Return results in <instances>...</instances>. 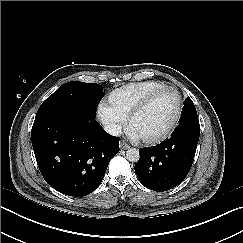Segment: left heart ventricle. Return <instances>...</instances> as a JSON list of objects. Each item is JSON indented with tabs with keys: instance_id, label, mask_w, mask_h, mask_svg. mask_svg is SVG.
I'll return each mask as SVG.
<instances>
[{
	"instance_id": "1",
	"label": "left heart ventricle",
	"mask_w": 243,
	"mask_h": 243,
	"mask_svg": "<svg viewBox=\"0 0 243 243\" xmlns=\"http://www.w3.org/2000/svg\"><path fill=\"white\" fill-rule=\"evenodd\" d=\"M177 106V95L166 92L152 100L135 119L134 127L146 136H156L171 122Z\"/></svg>"
}]
</instances>
